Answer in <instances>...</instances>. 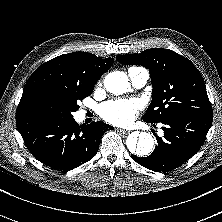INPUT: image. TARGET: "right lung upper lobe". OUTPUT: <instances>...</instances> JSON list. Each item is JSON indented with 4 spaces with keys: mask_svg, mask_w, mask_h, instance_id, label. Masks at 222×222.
I'll return each mask as SVG.
<instances>
[{
    "mask_svg": "<svg viewBox=\"0 0 222 222\" xmlns=\"http://www.w3.org/2000/svg\"><path fill=\"white\" fill-rule=\"evenodd\" d=\"M113 64L112 58L87 52H73L42 64L26 82L16 110V118L37 114L41 96L56 88L92 89Z\"/></svg>",
    "mask_w": 222,
    "mask_h": 222,
    "instance_id": "cb5924a9",
    "label": "right lung upper lobe"
}]
</instances>
